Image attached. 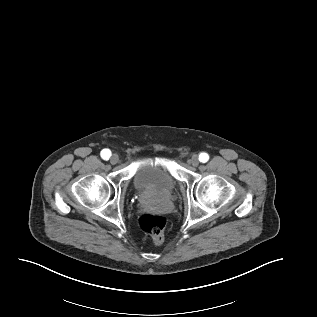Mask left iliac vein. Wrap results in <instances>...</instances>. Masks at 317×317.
<instances>
[{"mask_svg":"<svg viewBox=\"0 0 317 317\" xmlns=\"http://www.w3.org/2000/svg\"><path fill=\"white\" fill-rule=\"evenodd\" d=\"M189 163L194 166V167H197L199 165V158L197 155H193L190 160H189Z\"/></svg>","mask_w":317,"mask_h":317,"instance_id":"obj_1","label":"left iliac vein"}]
</instances>
